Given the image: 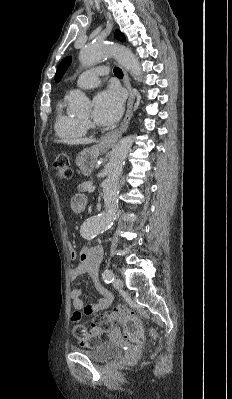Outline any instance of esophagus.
Returning a JSON list of instances; mask_svg holds the SVG:
<instances>
[{"mask_svg": "<svg viewBox=\"0 0 232 399\" xmlns=\"http://www.w3.org/2000/svg\"><path fill=\"white\" fill-rule=\"evenodd\" d=\"M121 69H122L123 75H124L123 82L129 92L126 113H125V116H124V118L121 122V125L118 129L111 130L110 132H107L106 134L102 135V137H100L98 147L103 148V149L111 148L117 142V140L120 139L122 134H124V132L127 130L130 120H131V117L133 115L132 109H133V104L135 101V95L132 90L130 79H129V76H128L126 70H124L123 67H121Z\"/></svg>", "mask_w": 232, "mask_h": 399, "instance_id": "obj_1", "label": "esophagus"}]
</instances>
